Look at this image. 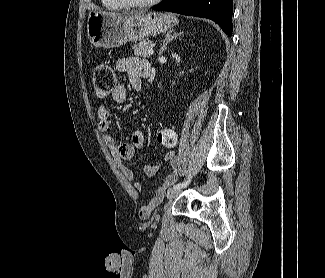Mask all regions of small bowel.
<instances>
[{
  "label": "small bowel",
  "mask_w": 325,
  "mask_h": 278,
  "mask_svg": "<svg viewBox=\"0 0 325 278\" xmlns=\"http://www.w3.org/2000/svg\"><path fill=\"white\" fill-rule=\"evenodd\" d=\"M148 66V61L140 57H121L116 61L117 70L121 73L128 74L130 84L137 92L141 90L142 78L147 77L146 70ZM112 99L118 104L125 103L127 100L126 88L123 85H118L112 93ZM97 113L99 118V130L103 133L104 141L112 152L120 172L129 181H134V172L128 168L124 162L131 160L135 153L143 147L145 142L144 132L142 130H136L132 134L130 141L118 144L115 136L109 133L111 121L108 107L104 104L100 105ZM166 129L167 128L162 129V133H164ZM174 135L176 138L175 132ZM164 161L170 165L172 173L165 177L163 184L155 191L156 199L161 197L165 190L175 182L177 178L178 160L173 150H169L164 154ZM161 168V165L149 163L145 165L144 170L148 175L152 176L157 174ZM134 186L139 191L143 188L141 182H135Z\"/></svg>",
  "instance_id": "obj_1"
}]
</instances>
